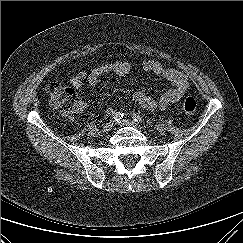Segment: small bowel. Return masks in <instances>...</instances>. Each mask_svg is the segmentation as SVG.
I'll use <instances>...</instances> for the list:
<instances>
[{
    "mask_svg": "<svg viewBox=\"0 0 243 243\" xmlns=\"http://www.w3.org/2000/svg\"><path fill=\"white\" fill-rule=\"evenodd\" d=\"M140 69L143 73L167 80L171 85L157 98L148 95L144 91L135 92L132 98L144 110L153 111L156 108L166 109L170 104L178 102L189 87L188 79L182 72L175 69H166L158 61L150 59L144 60L141 63ZM130 71V65L123 61L99 64L89 72L76 74L70 80V85L74 88H79L84 82H88L90 85H96L105 74H115L121 78H126ZM107 112L113 114L115 110L109 108Z\"/></svg>",
    "mask_w": 243,
    "mask_h": 243,
    "instance_id": "c3829d8e",
    "label": "small bowel"
}]
</instances>
